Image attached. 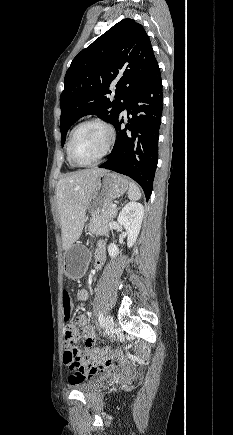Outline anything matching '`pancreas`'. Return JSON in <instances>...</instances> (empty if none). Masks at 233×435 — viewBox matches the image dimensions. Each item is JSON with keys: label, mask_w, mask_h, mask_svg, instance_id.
Here are the masks:
<instances>
[{"label": "pancreas", "mask_w": 233, "mask_h": 435, "mask_svg": "<svg viewBox=\"0 0 233 435\" xmlns=\"http://www.w3.org/2000/svg\"><path fill=\"white\" fill-rule=\"evenodd\" d=\"M111 205V203L107 204L99 214L92 215L89 223L90 235H106L108 233V222L116 216L117 212Z\"/></svg>", "instance_id": "1"}]
</instances>
